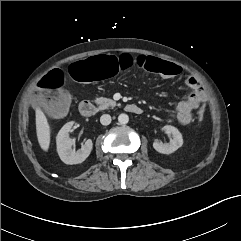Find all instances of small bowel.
I'll return each mask as SVG.
<instances>
[{"mask_svg": "<svg viewBox=\"0 0 241 241\" xmlns=\"http://www.w3.org/2000/svg\"><path fill=\"white\" fill-rule=\"evenodd\" d=\"M186 84L193 90V92L178 103L175 114L177 121L182 125H188L191 123V112L206 100V92L196 77L188 76L186 78Z\"/></svg>", "mask_w": 241, "mask_h": 241, "instance_id": "c3829d8e", "label": "small bowel"}]
</instances>
